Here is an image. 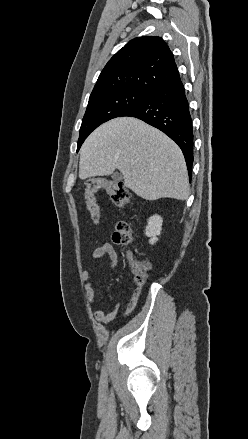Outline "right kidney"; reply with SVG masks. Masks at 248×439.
<instances>
[{
  "label": "right kidney",
  "instance_id": "obj_1",
  "mask_svg": "<svg viewBox=\"0 0 248 439\" xmlns=\"http://www.w3.org/2000/svg\"><path fill=\"white\" fill-rule=\"evenodd\" d=\"M162 218L158 215H153L148 219V225L145 229V235L150 237L149 243L151 245L158 241L157 236L161 234L162 230Z\"/></svg>",
  "mask_w": 248,
  "mask_h": 439
}]
</instances>
